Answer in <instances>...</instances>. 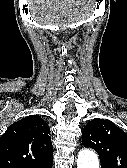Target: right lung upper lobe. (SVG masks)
Wrapping results in <instances>:
<instances>
[{"mask_svg":"<svg viewBox=\"0 0 127 168\" xmlns=\"http://www.w3.org/2000/svg\"><path fill=\"white\" fill-rule=\"evenodd\" d=\"M52 162L50 128L38 115L13 123L0 138V168H47Z\"/></svg>","mask_w":127,"mask_h":168,"instance_id":"1","label":"right lung upper lobe"}]
</instances>
